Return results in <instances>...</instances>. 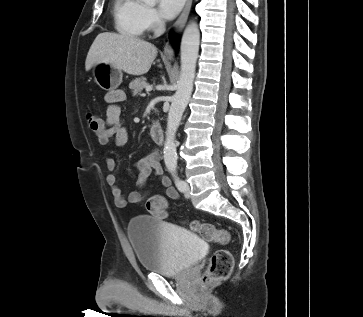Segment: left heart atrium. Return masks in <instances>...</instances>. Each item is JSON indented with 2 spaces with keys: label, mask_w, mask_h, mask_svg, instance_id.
<instances>
[{
  "label": "left heart atrium",
  "mask_w": 363,
  "mask_h": 317,
  "mask_svg": "<svg viewBox=\"0 0 363 317\" xmlns=\"http://www.w3.org/2000/svg\"><path fill=\"white\" fill-rule=\"evenodd\" d=\"M185 0H159V11L166 19L174 18L181 10Z\"/></svg>",
  "instance_id": "obj_1"
}]
</instances>
